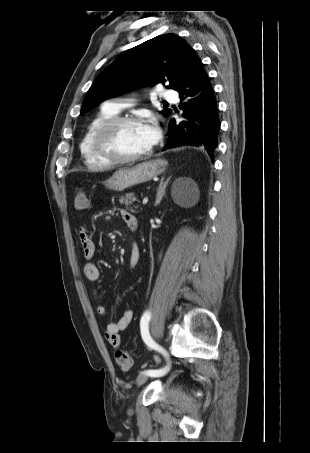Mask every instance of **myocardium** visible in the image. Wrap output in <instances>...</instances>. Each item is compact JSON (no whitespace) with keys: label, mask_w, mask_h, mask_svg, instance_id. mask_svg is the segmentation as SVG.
<instances>
[{"label":"myocardium","mask_w":310,"mask_h":453,"mask_svg":"<svg viewBox=\"0 0 310 453\" xmlns=\"http://www.w3.org/2000/svg\"><path fill=\"white\" fill-rule=\"evenodd\" d=\"M140 123L141 120L135 116H115L104 122L96 130L92 139V146L95 153L111 164H129L148 157L152 153L151 147L145 152L129 157H121L114 154L109 145L111 137L118 128L128 124Z\"/></svg>","instance_id":"obj_1"}]
</instances>
